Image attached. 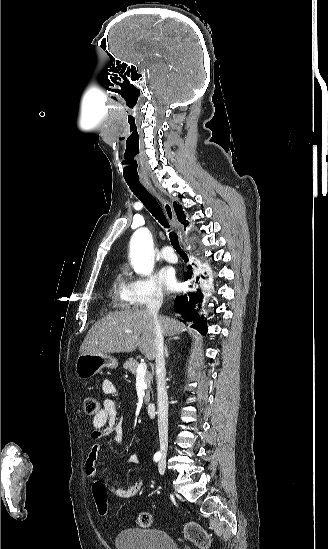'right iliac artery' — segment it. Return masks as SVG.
<instances>
[{
    "mask_svg": "<svg viewBox=\"0 0 328 549\" xmlns=\"http://www.w3.org/2000/svg\"><path fill=\"white\" fill-rule=\"evenodd\" d=\"M160 458H161V453H156V454L154 455V458H153V459H154L155 462H157V461L160 460Z\"/></svg>",
    "mask_w": 328,
    "mask_h": 549,
    "instance_id": "right-iliac-artery-1",
    "label": "right iliac artery"
}]
</instances>
